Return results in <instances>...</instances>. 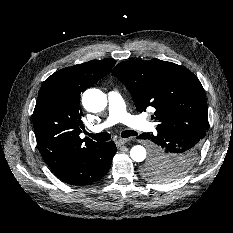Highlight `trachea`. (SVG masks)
Here are the masks:
<instances>
[{
  "label": "trachea",
  "instance_id": "trachea-1",
  "mask_svg": "<svg viewBox=\"0 0 233 233\" xmlns=\"http://www.w3.org/2000/svg\"><path fill=\"white\" fill-rule=\"evenodd\" d=\"M86 134L98 142H105L111 138V135L107 132H102L97 134L86 132ZM136 135L137 133L133 130H125L121 133V137L123 138H128L130 136H136Z\"/></svg>",
  "mask_w": 233,
  "mask_h": 233
}]
</instances>
